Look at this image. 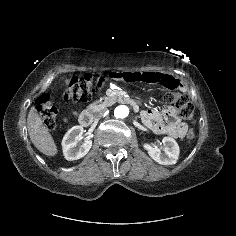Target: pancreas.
<instances>
[{
    "label": "pancreas",
    "mask_w": 236,
    "mask_h": 236,
    "mask_svg": "<svg viewBox=\"0 0 236 236\" xmlns=\"http://www.w3.org/2000/svg\"><path fill=\"white\" fill-rule=\"evenodd\" d=\"M109 104H110V98L103 97V98L93 102L92 104H90L87 109L90 111H93V112H97V111H100V110L106 108L107 106H109Z\"/></svg>",
    "instance_id": "obj_1"
}]
</instances>
